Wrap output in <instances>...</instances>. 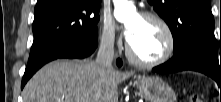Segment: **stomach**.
I'll list each match as a JSON object with an SVG mask.
<instances>
[{"mask_svg": "<svg viewBox=\"0 0 221 102\" xmlns=\"http://www.w3.org/2000/svg\"><path fill=\"white\" fill-rule=\"evenodd\" d=\"M140 95L148 102H175L174 90L158 77H141L135 82Z\"/></svg>", "mask_w": 221, "mask_h": 102, "instance_id": "stomach-1", "label": "stomach"}]
</instances>
